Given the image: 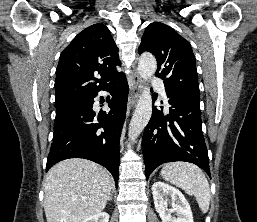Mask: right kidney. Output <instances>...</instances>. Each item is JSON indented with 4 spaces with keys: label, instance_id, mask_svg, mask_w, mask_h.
<instances>
[{
    "label": "right kidney",
    "instance_id": "1",
    "mask_svg": "<svg viewBox=\"0 0 257 222\" xmlns=\"http://www.w3.org/2000/svg\"><path fill=\"white\" fill-rule=\"evenodd\" d=\"M109 214L106 212L97 213L91 217L84 219L82 222H108Z\"/></svg>",
    "mask_w": 257,
    "mask_h": 222
}]
</instances>
